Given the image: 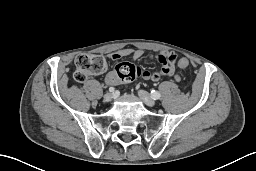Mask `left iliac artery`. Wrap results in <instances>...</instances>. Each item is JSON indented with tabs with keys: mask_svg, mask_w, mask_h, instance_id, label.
Instances as JSON below:
<instances>
[{
	"mask_svg": "<svg viewBox=\"0 0 256 171\" xmlns=\"http://www.w3.org/2000/svg\"><path fill=\"white\" fill-rule=\"evenodd\" d=\"M151 96H152V98H154L155 100H156V99H160V97H161L160 93L157 92V91H155V90H152V91H151Z\"/></svg>",
	"mask_w": 256,
	"mask_h": 171,
	"instance_id": "obj_1",
	"label": "left iliac artery"
}]
</instances>
